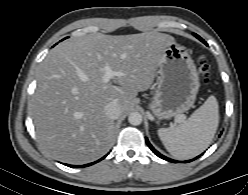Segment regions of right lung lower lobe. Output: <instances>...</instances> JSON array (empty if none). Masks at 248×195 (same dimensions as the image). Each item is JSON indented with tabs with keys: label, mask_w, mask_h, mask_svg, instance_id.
Here are the masks:
<instances>
[{
	"label": "right lung lower lobe",
	"mask_w": 248,
	"mask_h": 195,
	"mask_svg": "<svg viewBox=\"0 0 248 195\" xmlns=\"http://www.w3.org/2000/svg\"><path fill=\"white\" fill-rule=\"evenodd\" d=\"M106 156H104L103 158H101L100 160H102V159H104ZM100 160H98V161H100ZM98 161H96V162H98ZM96 162H93V163H89V164H85V165H79V166H73V165H68V166H70V167H87V166H90V165H92V164H95ZM67 165V164H66Z\"/></svg>",
	"instance_id": "1"
}]
</instances>
